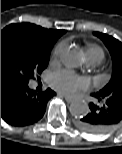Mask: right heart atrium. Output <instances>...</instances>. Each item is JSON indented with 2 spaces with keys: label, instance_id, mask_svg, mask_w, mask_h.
Instances as JSON below:
<instances>
[{
  "label": "right heart atrium",
  "instance_id": "1",
  "mask_svg": "<svg viewBox=\"0 0 122 154\" xmlns=\"http://www.w3.org/2000/svg\"><path fill=\"white\" fill-rule=\"evenodd\" d=\"M62 48H63L62 44H58L57 46H55V48L52 51V59L53 60H56L60 56Z\"/></svg>",
  "mask_w": 122,
  "mask_h": 154
}]
</instances>
